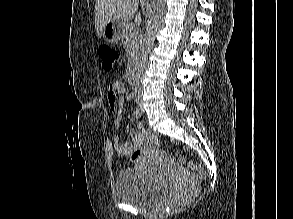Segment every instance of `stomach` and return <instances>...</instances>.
I'll use <instances>...</instances> for the list:
<instances>
[{
    "mask_svg": "<svg viewBox=\"0 0 293 219\" xmlns=\"http://www.w3.org/2000/svg\"><path fill=\"white\" fill-rule=\"evenodd\" d=\"M124 32L125 24L122 21H110L103 28L102 37L108 43H116L122 39Z\"/></svg>",
    "mask_w": 293,
    "mask_h": 219,
    "instance_id": "0dacf381",
    "label": "stomach"
}]
</instances>
